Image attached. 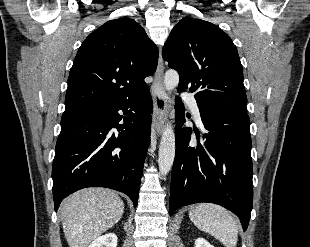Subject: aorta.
<instances>
[{
	"label": "aorta",
	"instance_id": "762f6f07",
	"mask_svg": "<svg viewBox=\"0 0 310 247\" xmlns=\"http://www.w3.org/2000/svg\"><path fill=\"white\" fill-rule=\"evenodd\" d=\"M178 83V73L175 70H168L164 76L165 89L171 91L178 86ZM175 150V134L171 124H167L162 133L158 152L159 172L162 176H166L171 170L174 162Z\"/></svg>",
	"mask_w": 310,
	"mask_h": 247
}]
</instances>
